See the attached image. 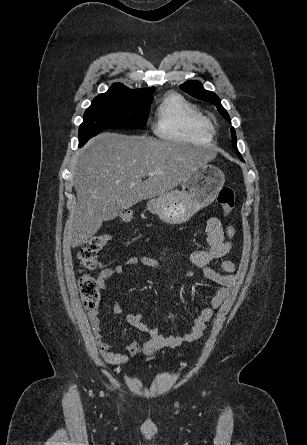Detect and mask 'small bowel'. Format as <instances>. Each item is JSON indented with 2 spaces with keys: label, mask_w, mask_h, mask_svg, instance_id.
Wrapping results in <instances>:
<instances>
[{
  "label": "small bowel",
  "mask_w": 307,
  "mask_h": 445,
  "mask_svg": "<svg viewBox=\"0 0 307 445\" xmlns=\"http://www.w3.org/2000/svg\"><path fill=\"white\" fill-rule=\"evenodd\" d=\"M233 237L234 228L231 225L224 226L219 218L211 217L206 225V248L198 250L190 256L191 263L201 269L204 277L220 287L213 294L209 305L196 317L189 331L179 336H163L158 328L150 327L143 322L142 314H127L125 316L126 322L132 327L147 333L148 339L143 344L134 342L115 350L104 340L98 312L95 310L90 312L89 322L101 356L111 364H125L130 360V357L140 352L151 355L162 348H176L197 341L202 336L206 323L212 318L214 311L220 307L228 296L233 284V273L236 266L232 260L226 258L232 250ZM212 262H217L218 267H212ZM127 266H143L155 272H159L161 269L160 263L152 257L146 255L131 256L123 264L107 268L98 274L96 279L101 289L114 276L122 275ZM113 307L116 314H122V309L117 302L114 303Z\"/></svg>",
  "instance_id": "1"
}]
</instances>
